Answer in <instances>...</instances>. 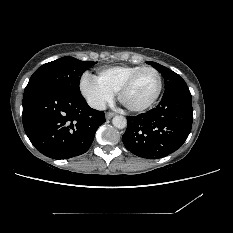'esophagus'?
<instances>
[{"label":"esophagus","instance_id":"obj_1","mask_svg":"<svg viewBox=\"0 0 233 233\" xmlns=\"http://www.w3.org/2000/svg\"><path fill=\"white\" fill-rule=\"evenodd\" d=\"M115 114L114 113H112V112H107L106 114H105V117H106V119H111L113 116H114Z\"/></svg>","mask_w":233,"mask_h":233}]
</instances>
